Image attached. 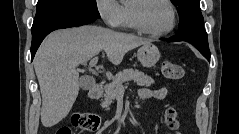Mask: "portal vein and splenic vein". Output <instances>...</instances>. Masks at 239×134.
<instances>
[{"instance_id": "portal-vein-and-splenic-vein-1", "label": "portal vein and splenic vein", "mask_w": 239, "mask_h": 134, "mask_svg": "<svg viewBox=\"0 0 239 134\" xmlns=\"http://www.w3.org/2000/svg\"><path fill=\"white\" fill-rule=\"evenodd\" d=\"M97 61H98L97 56H95L93 59H91L90 62H89L90 67H95L96 64H97ZM121 87H122V85H121Z\"/></svg>"}]
</instances>
